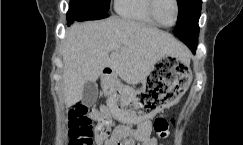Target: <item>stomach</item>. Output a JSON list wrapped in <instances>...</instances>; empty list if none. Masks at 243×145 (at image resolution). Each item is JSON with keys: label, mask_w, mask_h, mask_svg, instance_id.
<instances>
[{"label": "stomach", "mask_w": 243, "mask_h": 145, "mask_svg": "<svg viewBox=\"0 0 243 145\" xmlns=\"http://www.w3.org/2000/svg\"><path fill=\"white\" fill-rule=\"evenodd\" d=\"M192 81L189 59L163 57L154 64L138 94H125L124 88L109 77L103 89L109 95L112 116L125 123H138L175 104Z\"/></svg>", "instance_id": "obj_1"}]
</instances>
